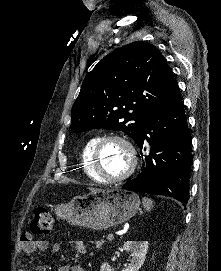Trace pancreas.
Instances as JSON below:
<instances>
[{
	"label": "pancreas",
	"mask_w": 221,
	"mask_h": 271,
	"mask_svg": "<svg viewBox=\"0 0 221 271\" xmlns=\"http://www.w3.org/2000/svg\"><path fill=\"white\" fill-rule=\"evenodd\" d=\"M90 244L93 247H104V244H107V239H90Z\"/></svg>",
	"instance_id": "1"
}]
</instances>
